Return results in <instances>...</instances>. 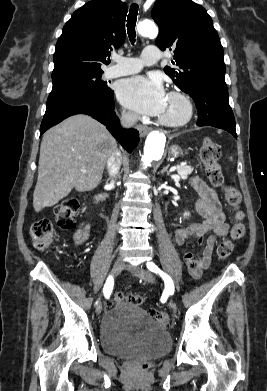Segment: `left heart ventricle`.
Returning <instances> with one entry per match:
<instances>
[{
  "instance_id": "obj_1",
  "label": "left heart ventricle",
  "mask_w": 267,
  "mask_h": 391,
  "mask_svg": "<svg viewBox=\"0 0 267 391\" xmlns=\"http://www.w3.org/2000/svg\"><path fill=\"white\" fill-rule=\"evenodd\" d=\"M183 114V104L178 99L167 97L165 107L160 116L174 120L179 119Z\"/></svg>"
}]
</instances>
